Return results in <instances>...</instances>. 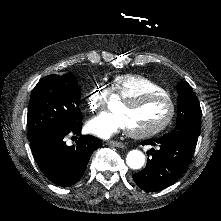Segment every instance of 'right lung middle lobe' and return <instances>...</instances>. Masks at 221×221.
Masks as SVG:
<instances>
[{
	"instance_id": "dd1d6c3e",
	"label": "right lung middle lobe",
	"mask_w": 221,
	"mask_h": 221,
	"mask_svg": "<svg viewBox=\"0 0 221 221\" xmlns=\"http://www.w3.org/2000/svg\"><path fill=\"white\" fill-rule=\"evenodd\" d=\"M77 83L72 74L48 75L38 82L28 107L29 140L44 133L71 131L81 123Z\"/></svg>"
}]
</instances>
